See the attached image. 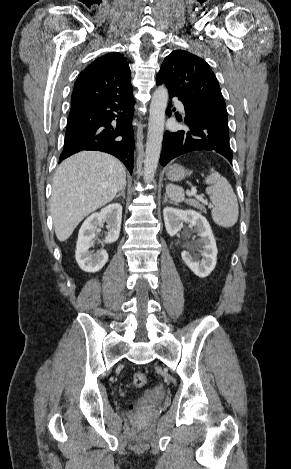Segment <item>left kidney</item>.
<instances>
[{"instance_id": "1", "label": "left kidney", "mask_w": 291, "mask_h": 469, "mask_svg": "<svg viewBox=\"0 0 291 469\" xmlns=\"http://www.w3.org/2000/svg\"><path fill=\"white\" fill-rule=\"evenodd\" d=\"M163 216L166 230L170 236L176 235L181 230L183 222H189L191 226L195 227L200 239L196 240L189 250L191 252L198 250L203 258L198 261L196 256H192L186 250L181 253V256L195 275L200 278L207 277L216 266L218 253L215 238L207 219L194 210L173 207L164 208Z\"/></svg>"}]
</instances>
